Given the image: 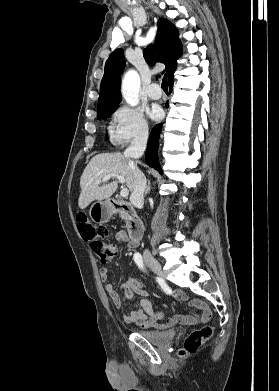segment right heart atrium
<instances>
[{
	"instance_id": "d8ad5b80",
	"label": "right heart atrium",
	"mask_w": 279,
	"mask_h": 391,
	"mask_svg": "<svg viewBox=\"0 0 279 391\" xmlns=\"http://www.w3.org/2000/svg\"><path fill=\"white\" fill-rule=\"evenodd\" d=\"M148 133V121L142 110L120 105L113 111L110 137L115 146L122 147L133 140H143Z\"/></svg>"
}]
</instances>
